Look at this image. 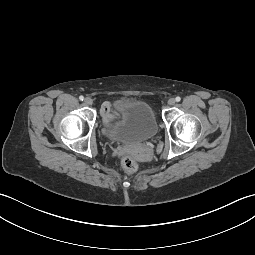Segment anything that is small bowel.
<instances>
[{
    "label": "small bowel",
    "instance_id": "c3829d8e",
    "mask_svg": "<svg viewBox=\"0 0 255 255\" xmlns=\"http://www.w3.org/2000/svg\"><path fill=\"white\" fill-rule=\"evenodd\" d=\"M101 116L105 122L110 121L114 117L110 103L106 102L102 105Z\"/></svg>",
    "mask_w": 255,
    "mask_h": 255
}]
</instances>
